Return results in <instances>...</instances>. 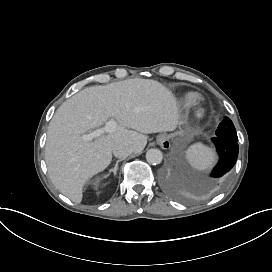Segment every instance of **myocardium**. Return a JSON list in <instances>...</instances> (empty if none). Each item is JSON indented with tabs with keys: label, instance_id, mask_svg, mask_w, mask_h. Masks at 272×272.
<instances>
[{
	"label": "myocardium",
	"instance_id": "f54148a6",
	"mask_svg": "<svg viewBox=\"0 0 272 272\" xmlns=\"http://www.w3.org/2000/svg\"><path fill=\"white\" fill-rule=\"evenodd\" d=\"M199 103V98H194L186 103V116L192 122H200L206 117L205 112L196 109Z\"/></svg>",
	"mask_w": 272,
	"mask_h": 272
}]
</instances>
